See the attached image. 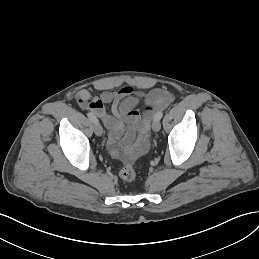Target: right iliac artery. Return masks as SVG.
<instances>
[{
	"label": "right iliac artery",
	"instance_id": "obj_1",
	"mask_svg": "<svg viewBox=\"0 0 259 259\" xmlns=\"http://www.w3.org/2000/svg\"><path fill=\"white\" fill-rule=\"evenodd\" d=\"M88 118L93 122V123H97L98 119L96 118V116L92 113H88L87 114Z\"/></svg>",
	"mask_w": 259,
	"mask_h": 259
}]
</instances>
